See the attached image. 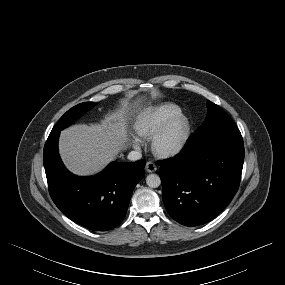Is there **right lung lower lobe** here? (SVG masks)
Listing matches in <instances>:
<instances>
[{"label":"right lung lower lobe","instance_id":"obj_1","mask_svg":"<svg viewBox=\"0 0 285 285\" xmlns=\"http://www.w3.org/2000/svg\"><path fill=\"white\" fill-rule=\"evenodd\" d=\"M60 130H52L44 146V167L50 196L72 221L95 231L115 228L124 219L137 183L144 177L145 160L112 162L91 177L71 174L58 152Z\"/></svg>","mask_w":285,"mask_h":285}]
</instances>
